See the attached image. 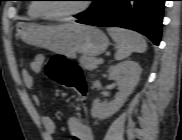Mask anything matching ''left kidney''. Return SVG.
Here are the masks:
<instances>
[{
	"instance_id": "obj_1",
	"label": "left kidney",
	"mask_w": 182,
	"mask_h": 140,
	"mask_svg": "<svg viewBox=\"0 0 182 140\" xmlns=\"http://www.w3.org/2000/svg\"><path fill=\"white\" fill-rule=\"evenodd\" d=\"M142 69L140 65L131 60L123 61L108 70L109 79L116 81L119 94L110 102L94 100L91 115L94 118L105 119L115 114L126 102L127 98L137 86Z\"/></svg>"
}]
</instances>
